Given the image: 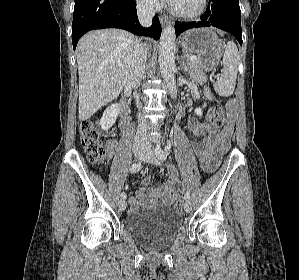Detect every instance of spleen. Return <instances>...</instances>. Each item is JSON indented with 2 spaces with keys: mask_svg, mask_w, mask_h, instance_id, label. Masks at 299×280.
<instances>
[{
  "mask_svg": "<svg viewBox=\"0 0 299 280\" xmlns=\"http://www.w3.org/2000/svg\"><path fill=\"white\" fill-rule=\"evenodd\" d=\"M239 64V53L234 42L229 41L223 55V70L221 77L214 83V90L223 97L233 94L236 84Z\"/></svg>",
  "mask_w": 299,
  "mask_h": 280,
  "instance_id": "obj_1",
  "label": "spleen"
}]
</instances>
